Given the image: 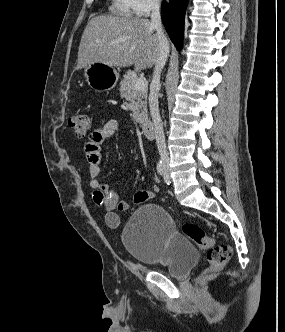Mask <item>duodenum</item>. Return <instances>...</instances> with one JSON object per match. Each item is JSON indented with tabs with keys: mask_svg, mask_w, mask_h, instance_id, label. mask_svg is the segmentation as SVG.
<instances>
[{
	"mask_svg": "<svg viewBox=\"0 0 285 332\" xmlns=\"http://www.w3.org/2000/svg\"><path fill=\"white\" fill-rule=\"evenodd\" d=\"M141 129H142L143 135L146 138L152 139L154 137V127H153V124L151 122L143 123Z\"/></svg>",
	"mask_w": 285,
	"mask_h": 332,
	"instance_id": "1",
	"label": "duodenum"
}]
</instances>
